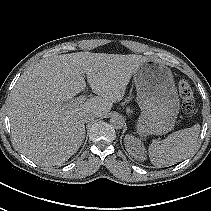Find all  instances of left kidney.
Here are the masks:
<instances>
[{
  "mask_svg": "<svg viewBox=\"0 0 211 211\" xmlns=\"http://www.w3.org/2000/svg\"><path fill=\"white\" fill-rule=\"evenodd\" d=\"M125 147L128 153L139 161L145 160V148L141 141L133 136L125 137Z\"/></svg>",
  "mask_w": 211,
  "mask_h": 211,
  "instance_id": "left-kidney-1",
  "label": "left kidney"
}]
</instances>
